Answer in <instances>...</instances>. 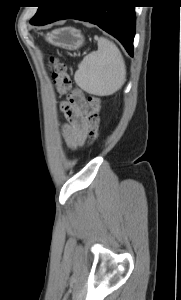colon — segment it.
Returning <instances> with one entry per match:
<instances>
[{
  "mask_svg": "<svg viewBox=\"0 0 181 300\" xmlns=\"http://www.w3.org/2000/svg\"><path fill=\"white\" fill-rule=\"evenodd\" d=\"M52 79L61 93L69 92L72 88V80L68 74L67 66L58 59H52L51 65ZM83 104L89 106V112L86 116L87 137L90 143L95 142L99 136L101 101L97 96L90 95L86 99L81 92L74 90L69 92V102L64 104L62 109L67 117H72L74 111Z\"/></svg>",
  "mask_w": 181,
  "mask_h": 300,
  "instance_id": "colon-1",
  "label": "colon"
}]
</instances>
